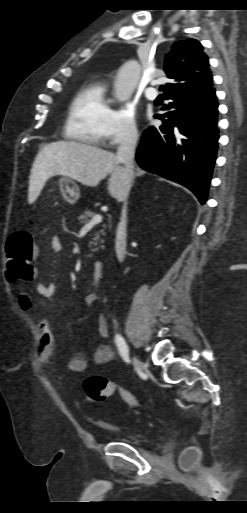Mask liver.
Segmentation results:
<instances>
[{
  "instance_id": "obj_1",
  "label": "liver",
  "mask_w": 247,
  "mask_h": 513,
  "mask_svg": "<svg viewBox=\"0 0 247 513\" xmlns=\"http://www.w3.org/2000/svg\"><path fill=\"white\" fill-rule=\"evenodd\" d=\"M113 152L79 142L59 141L44 146L37 154L29 180V202H33L50 177L63 175L89 187H95L110 175L108 191L119 200L128 194L133 176H129ZM144 171L138 169V176Z\"/></svg>"
}]
</instances>
